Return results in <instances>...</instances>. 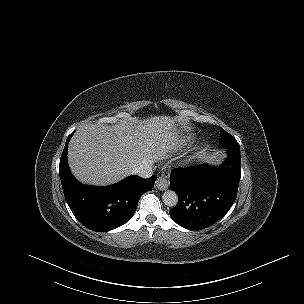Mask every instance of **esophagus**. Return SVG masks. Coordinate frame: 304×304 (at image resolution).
Here are the masks:
<instances>
[{
  "instance_id": "1",
  "label": "esophagus",
  "mask_w": 304,
  "mask_h": 304,
  "mask_svg": "<svg viewBox=\"0 0 304 304\" xmlns=\"http://www.w3.org/2000/svg\"><path fill=\"white\" fill-rule=\"evenodd\" d=\"M169 182L165 177H158L155 182V188L161 191H164L168 188Z\"/></svg>"
}]
</instances>
